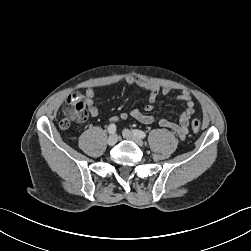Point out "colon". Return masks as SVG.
Returning a JSON list of instances; mask_svg holds the SVG:
<instances>
[{
  "instance_id": "5ec220e1",
  "label": "colon",
  "mask_w": 251,
  "mask_h": 251,
  "mask_svg": "<svg viewBox=\"0 0 251 251\" xmlns=\"http://www.w3.org/2000/svg\"><path fill=\"white\" fill-rule=\"evenodd\" d=\"M64 112L67 116L60 122V126L63 129L69 128L72 120L77 122L85 121L87 119V110L84 105L83 96L79 93L70 95L67 99ZM191 128L194 132H198L201 129V121L194 119L191 122Z\"/></svg>"
}]
</instances>
